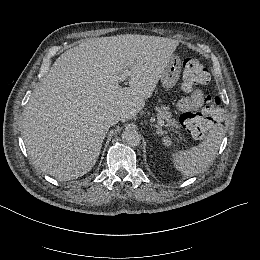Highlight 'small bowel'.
Masks as SVG:
<instances>
[{
	"mask_svg": "<svg viewBox=\"0 0 260 260\" xmlns=\"http://www.w3.org/2000/svg\"><path fill=\"white\" fill-rule=\"evenodd\" d=\"M207 101L208 98L200 89H194L188 96L181 98L176 106L179 111L197 110L203 107Z\"/></svg>",
	"mask_w": 260,
	"mask_h": 260,
	"instance_id": "small-bowel-1",
	"label": "small bowel"
}]
</instances>
